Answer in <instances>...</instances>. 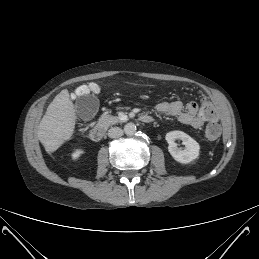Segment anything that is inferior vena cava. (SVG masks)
<instances>
[{
	"label": "inferior vena cava",
	"mask_w": 259,
	"mask_h": 259,
	"mask_svg": "<svg viewBox=\"0 0 259 259\" xmlns=\"http://www.w3.org/2000/svg\"><path fill=\"white\" fill-rule=\"evenodd\" d=\"M123 135V130L119 127H112L108 130V136L110 138H118Z\"/></svg>",
	"instance_id": "obj_1"
}]
</instances>
